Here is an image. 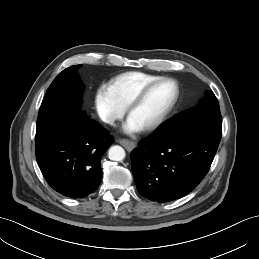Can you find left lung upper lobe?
<instances>
[{
	"mask_svg": "<svg viewBox=\"0 0 259 259\" xmlns=\"http://www.w3.org/2000/svg\"><path fill=\"white\" fill-rule=\"evenodd\" d=\"M192 120H205L210 122H221V114L216 96L212 91L208 92L205 99L196 107L177 114L163 123L153 136L162 135L172 128Z\"/></svg>",
	"mask_w": 259,
	"mask_h": 259,
	"instance_id": "5c2ea615",
	"label": "left lung upper lobe"
}]
</instances>
